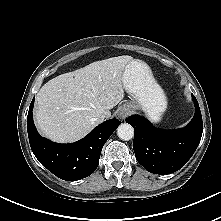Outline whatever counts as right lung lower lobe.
I'll return each instance as SVG.
<instances>
[{"mask_svg": "<svg viewBox=\"0 0 221 221\" xmlns=\"http://www.w3.org/2000/svg\"><path fill=\"white\" fill-rule=\"evenodd\" d=\"M32 100L27 131L31 149L38 161L60 179L76 181L91 175L99 164L101 150L121 124L117 119L107 120L95 127L86 137L70 144H59L41 137L34 125Z\"/></svg>", "mask_w": 221, "mask_h": 221, "instance_id": "1", "label": "right lung lower lobe"}]
</instances>
